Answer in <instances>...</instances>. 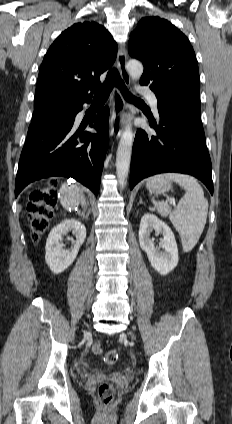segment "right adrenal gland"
I'll list each match as a JSON object with an SVG mask.
<instances>
[{
    "mask_svg": "<svg viewBox=\"0 0 232 424\" xmlns=\"http://www.w3.org/2000/svg\"><path fill=\"white\" fill-rule=\"evenodd\" d=\"M90 213H91V210H90V209H88L86 213H85V212H83V211L77 210V214H78V215H79V216H80L83 220H88Z\"/></svg>",
    "mask_w": 232,
    "mask_h": 424,
    "instance_id": "obj_1",
    "label": "right adrenal gland"
}]
</instances>
